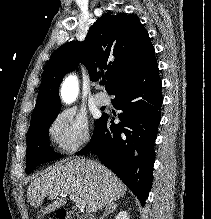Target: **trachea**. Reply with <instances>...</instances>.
I'll list each match as a JSON object with an SVG mask.
<instances>
[{
    "mask_svg": "<svg viewBox=\"0 0 211 219\" xmlns=\"http://www.w3.org/2000/svg\"><path fill=\"white\" fill-rule=\"evenodd\" d=\"M101 84H102V85H106V82H105V81H102Z\"/></svg>",
    "mask_w": 211,
    "mask_h": 219,
    "instance_id": "3493384b",
    "label": "trachea"
}]
</instances>
